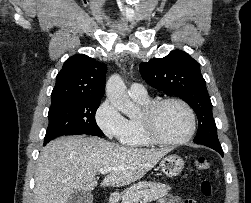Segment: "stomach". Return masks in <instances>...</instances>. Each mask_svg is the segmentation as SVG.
<instances>
[{"mask_svg":"<svg viewBox=\"0 0 251 203\" xmlns=\"http://www.w3.org/2000/svg\"><path fill=\"white\" fill-rule=\"evenodd\" d=\"M159 168L167 177H174L182 172L184 161L178 155H168L160 161Z\"/></svg>","mask_w":251,"mask_h":203,"instance_id":"0dacf381","label":"stomach"}]
</instances>
